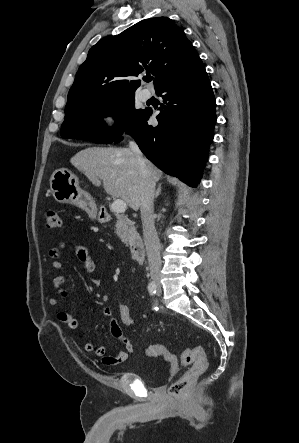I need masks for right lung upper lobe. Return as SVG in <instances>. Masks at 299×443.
I'll list each match as a JSON object with an SVG mask.
<instances>
[{
  "instance_id": "right-lung-upper-lobe-1",
  "label": "right lung upper lobe",
  "mask_w": 299,
  "mask_h": 443,
  "mask_svg": "<svg viewBox=\"0 0 299 443\" xmlns=\"http://www.w3.org/2000/svg\"><path fill=\"white\" fill-rule=\"evenodd\" d=\"M203 63L183 29L166 17L142 20L116 36L101 39L88 52L68 93L66 107L135 94L143 72L154 88L201 69Z\"/></svg>"
}]
</instances>
